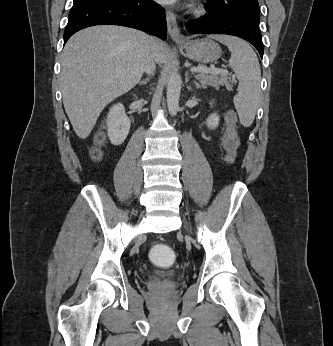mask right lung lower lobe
Segmentation results:
<instances>
[{"label": "right lung lower lobe", "mask_w": 333, "mask_h": 346, "mask_svg": "<svg viewBox=\"0 0 333 346\" xmlns=\"http://www.w3.org/2000/svg\"><path fill=\"white\" fill-rule=\"evenodd\" d=\"M104 24L139 29L163 40L167 37L164 10L152 0H82L70 10L64 44L77 31Z\"/></svg>", "instance_id": "1"}]
</instances>
